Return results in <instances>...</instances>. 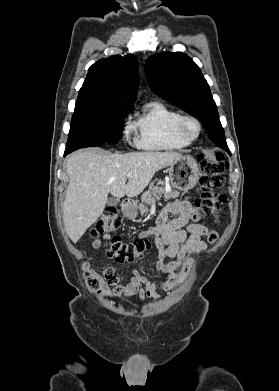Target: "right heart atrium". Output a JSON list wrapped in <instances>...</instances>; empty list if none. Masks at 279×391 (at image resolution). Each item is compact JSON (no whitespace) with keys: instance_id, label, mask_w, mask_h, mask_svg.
<instances>
[{"instance_id":"right-heart-atrium-1","label":"right heart atrium","mask_w":279,"mask_h":391,"mask_svg":"<svg viewBox=\"0 0 279 391\" xmlns=\"http://www.w3.org/2000/svg\"><path fill=\"white\" fill-rule=\"evenodd\" d=\"M129 134H130V131H129L128 128H126V130H125V136H126V137H129Z\"/></svg>"}]
</instances>
